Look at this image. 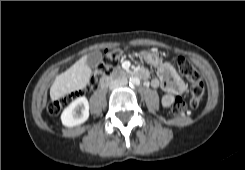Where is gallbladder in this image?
Instances as JSON below:
<instances>
[{"mask_svg":"<svg viewBox=\"0 0 245 170\" xmlns=\"http://www.w3.org/2000/svg\"><path fill=\"white\" fill-rule=\"evenodd\" d=\"M102 60V54L100 51H92L87 55V59H86V64L91 67L94 68L96 66H98V64L101 62Z\"/></svg>","mask_w":245,"mask_h":170,"instance_id":"bac80fb5","label":"gallbladder"}]
</instances>
